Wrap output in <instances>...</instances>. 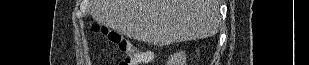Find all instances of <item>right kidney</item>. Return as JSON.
I'll use <instances>...</instances> for the list:
<instances>
[{"label": "right kidney", "mask_w": 309, "mask_h": 65, "mask_svg": "<svg viewBox=\"0 0 309 65\" xmlns=\"http://www.w3.org/2000/svg\"><path fill=\"white\" fill-rule=\"evenodd\" d=\"M186 64V54L185 51H180L178 53H174L168 59V65H185Z\"/></svg>", "instance_id": "1"}]
</instances>
